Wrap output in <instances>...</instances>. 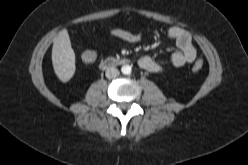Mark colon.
Listing matches in <instances>:
<instances>
[{
  "label": "colon",
  "mask_w": 248,
  "mask_h": 165,
  "mask_svg": "<svg viewBox=\"0 0 248 165\" xmlns=\"http://www.w3.org/2000/svg\"><path fill=\"white\" fill-rule=\"evenodd\" d=\"M96 57H97L96 52L92 50H87L82 54V60L86 64H92L96 60ZM202 67H203V61L199 59L195 61L192 68L194 71L197 72L200 71Z\"/></svg>",
  "instance_id": "1"
}]
</instances>
